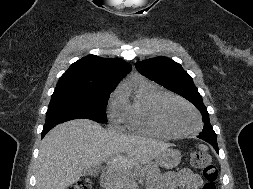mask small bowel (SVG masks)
I'll list each match as a JSON object with an SVG mask.
<instances>
[{
    "label": "small bowel",
    "mask_w": 253,
    "mask_h": 189,
    "mask_svg": "<svg viewBox=\"0 0 253 189\" xmlns=\"http://www.w3.org/2000/svg\"><path fill=\"white\" fill-rule=\"evenodd\" d=\"M203 184L201 177L189 169L166 173L159 189H200Z\"/></svg>",
    "instance_id": "small-bowel-1"
}]
</instances>
